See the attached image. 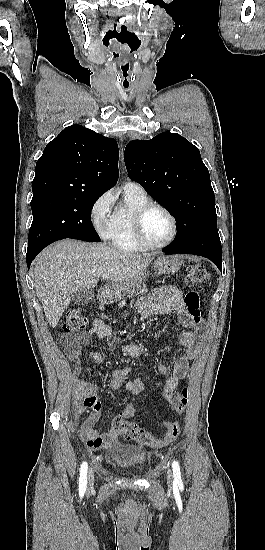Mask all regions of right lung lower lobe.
<instances>
[{"mask_svg": "<svg viewBox=\"0 0 265 550\" xmlns=\"http://www.w3.org/2000/svg\"><path fill=\"white\" fill-rule=\"evenodd\" d=\"M41 250H42V249H41ZM41 250H38V251H35V252H32V253H27V255H26V261H27L28 269H29L30 266H31L32 260L36 257V255H37Z\"/></svg>", "mask_w": 265, "mask_h": 550, "instance_id": "right-lung-lower-lobe-1", "label": "right lung lower lobe"}]
</instances>
